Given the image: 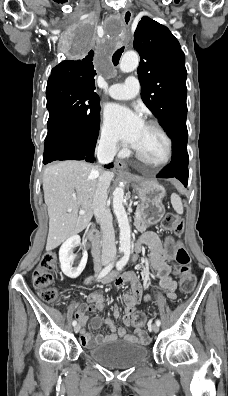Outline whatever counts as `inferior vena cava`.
I'll return each instance as SVG.
<instances>
[{"mask_svg":"<svg viewBox=\"0 0 228 396\" xmlns=\"http://www.w3.org/2000/svg\"><path fill=\"white\" fill-rule=\"evenodd\" d=\"M117 152L115 141H101L97 148V158L100 164H109ZM112 180L111 173L102 171L93 198V211L100 223L102 233V254L114 257L116 255L115 234L112 216L107 208L108 188Z\"/></svg>","mask_w":228,"mask_h":396,"instance_id":"602c4592","label":"inferior vena cava"}]
</instances>
